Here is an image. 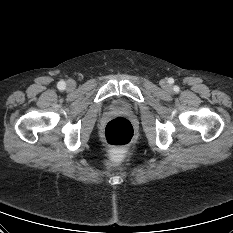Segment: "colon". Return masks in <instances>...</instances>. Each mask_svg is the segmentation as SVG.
<instances>
[{"mask_svg": "<svg viewBox=\"0 0 233 233\" xmlns=\"http://www.w3.org/2000/svg\"><path fill=\"white\" fill-rule=\"evenodd\" d=\"M103 137L107 144L116 148L125 149L134 140L133 125L124 117L114 118L105 126Z\"/></svg>", "mask_w": 233, "mask_h": 233, "instance_id": "obj_1", "label": "colon"}]
</instances>
